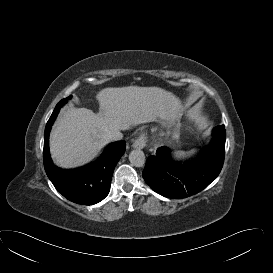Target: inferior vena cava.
Segmentation results:
<instances>
[{"label": "inferior vena cava", "instance_id": "1", "mask_svg": "<svg viewBox=\"0 0 273 273\" xmlns=\"http://www.w3.org/2000/svg\"><path fill=\"white\" fill-rule=\"evenodd\" d=\"M108 137L110 140L117 141L123 138V134L120 132V130H112L108 133Z\"/></svg>", "mask_w": 273, "mask_h": 273}]
</instances>
